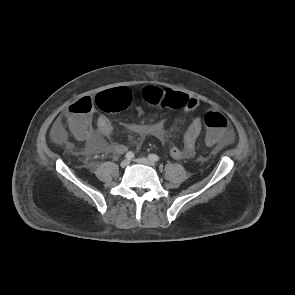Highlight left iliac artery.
Returning a JSON list of instances; mask_svg holds the SVG:
<instances>
[{
  "mask_svg": "<svg viewBox=\"0 0 295 295\" xmlns=\"http://www.w3.org/2000/svg\"><path fill=\"white\" fill-rule=\"evenodd\" d=\"M148 158H149L151 161H154V162H157V161L160 160L159 156L156 155V154H150V155L148 156Z\"/></svg>",
  "mask_w": 295,
  "mask_h": 295,
  "instance_id": "left-iliac-artery-1",
  "label": "left iliac artery"
}]
</instances>
